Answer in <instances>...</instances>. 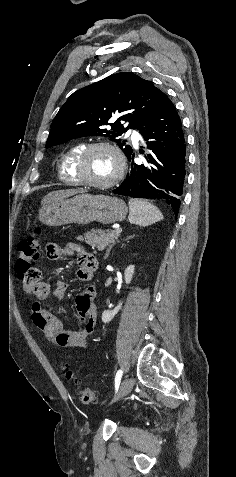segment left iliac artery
Listing matches in <instances>:
<instances>
[{
  "label": "left iliac artery",
  "mask_w": 236,
  "mask_h": 477,
  "mask_svg": "<svg viewBox=\"0 0 236 477\" xmlns=\"http://www.w3.org/2000/svg\"><path fill=\"white\" fill-rule=\"evenodd\" d=\"M122 373H123L122 370H118L117 373H116V376H115V390H116V392L118 391V388H119V385H120Z\"/></svg>",
  "instance_id": "obj_1"
}]
</instances>
